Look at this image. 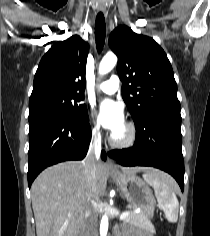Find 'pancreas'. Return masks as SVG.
Instances as JSON below:
<instances>
[{
    "mask_svg": "<svg viewBox=\"0 0 210 236\" xmlns=\"http://www.w3.org/2000/svg\"><path fill=\"white\" fill-rule=\"evenodd\" d=\"M127 207L131 208L130 205H128ZM123 221L125 223H130L138 227L145 228L150 232H155L154 226L152 225L146 214L143 212H130L129 215L123 219Z\"/></svg>",
    "mask_w": 210,
    "mask_h": 236,
    "instance_id": "pancreas-1",
    "label": "pancreas"
}]
</instances>
